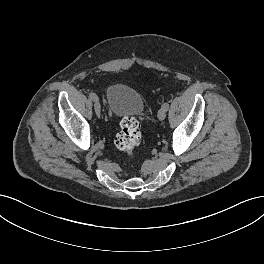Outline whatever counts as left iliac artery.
<instances>
[{
	"mask_svg": "<svg viewBox=\"0 0 264 264\" xmlns=\"http://www.w3.org/2000/svg\"><path fill=\"white\" fill-rule=\"evenodd\" d=\"M162 107L167 111L169 109V104L165 102Z\"/></svg>",
	"mask_w": 264,
	"mask_h": 264,
	"instance_id": "1",
	"label": "left iliac artery"
}]
</instances>
